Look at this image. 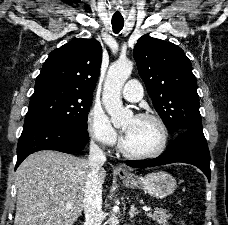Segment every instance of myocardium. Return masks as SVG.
<instances>
[{"mask_svg": "<svg viewBox=\"0 0 228 225\" xmlns=\"http://www.w3.org/2000/svg\"><path fill=\"white\" fill-rule=\"evenodd\" d=\"M135 118L140 119V120H150L158 125V127L161 130L162 133V143L161 146L159 147L158 150L150 153H143V152H138L131 150L125 142L124 137L120 139V150L122 153H124L127 156H130L132 158H137V159H153L161 156L167 149L168 143H169V132L166 124L164 121L153 114H147V113H142L138 114Z\"/></svg>", "mask_w": 228, "mask_h": 225, "instance_id": "f54148a6", "label": "myocardium"}]
</instances>
